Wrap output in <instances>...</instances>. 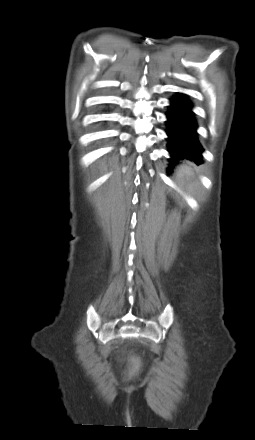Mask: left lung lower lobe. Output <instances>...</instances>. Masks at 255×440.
Listing matches in <instances>:
<instances>
[{
    "mask_svg": "<svg viewBox=\"0 0 255 440\" xmlns=\"http://www.w3.org/2000/svg\"><path fill=\"white\" fill-rule=\"evenodd\" d=\"M192 108V102L183 93H176L170 98L165 130L171 156L168 173H171L182 160H190L197 165L203 163L204 149L198 139V124Z\"/></svg>",
    "mask_w": 255,
    "mask_h": 440,
    "instance_id": "0a47b994",
    "label": "left lung lower lobe"
}]
</instances>
